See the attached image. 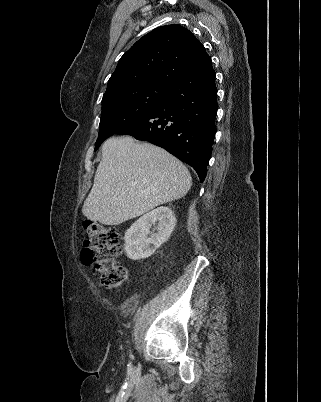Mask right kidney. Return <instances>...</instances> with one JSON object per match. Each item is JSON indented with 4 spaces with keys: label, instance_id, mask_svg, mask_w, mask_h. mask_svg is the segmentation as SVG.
<instances>
[{
    "label": "right kidney",
    "instance_id": "obj_1",
    "mask_svg": "<svg viewBox=\"0 0 321 402\" xmlns=\"http://www.w3.org/2000/svg\"><path fill=\"white\" fill-rule=\"evenodd\" d=\"M156 222L157 233L150 231ZM176 226V218L169 207H158L135 221L125 232V253L132 260L150 257L168 240Z\"/></svg>",
    "mask_w": 321,
    "mask_h": 402
}]
</instances>
